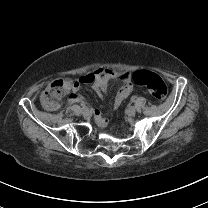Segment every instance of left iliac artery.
Returning <instances> with one entry per match:
<instances>
[{
  "label": "left iliac artery",
  "mask_w": 208,
  "mask_h": 208,
  "mask_svg": "<svg viewBox=\"0 0 208 208\" xmlns=\"http://www.w3.org/2000/svg\"><path fill=\"white\" fill-rule=\"evenodd\" d=\"M134 101H135V98H134V97H132V98H131V102H134Z\"/></svg>",
  "instance_id": "1"
}]
</instances>
